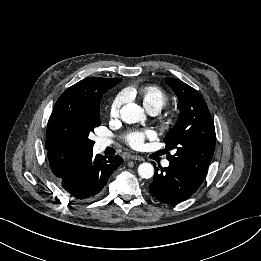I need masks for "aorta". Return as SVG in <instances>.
Wrapping results in <instances>:
<instances>
[{"instance_id": "1", "label": "aorta", "mask_w": 261, "mask_h": 261, "mask_svg": "<svg viewBox=\"0 0 261 261\" xmlns=\"http://www.w3.org/2000/svg\"><path fill=\"white\" fill-rule=\"evenodd\" d=\"M121 119L125 123H137L139 121H145L144 110L135 103H128L124 105L121 110ZM138 174L140 177L149 179L154 175V167L150 163H142L138 167Z\"/></svg>"}]
</instances>
